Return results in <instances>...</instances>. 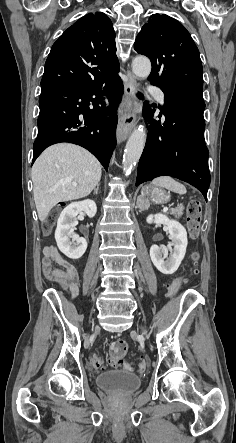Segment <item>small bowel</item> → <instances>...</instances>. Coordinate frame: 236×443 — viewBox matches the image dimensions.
I'll return each mask as SVG.
<instances>
[{
	"mask_svg": "<svg viewBox=\"0 0 236 443\" xmlns=\"http://www.w3.org/2000/svg\"><path fill=\"white\" fill-rule=\"evenodd\" d=\"M43 253L42 267L45 278L74 296L77 293L78 281L76 267L53 246L46 247ZM54 265L58 267H54Z\"/></svg>",
	"mask_w": 236,
	"mask_h": 443,
	"instance_id": "small-bowel-1",
	"label": "small bowel"
}]
</instances>
